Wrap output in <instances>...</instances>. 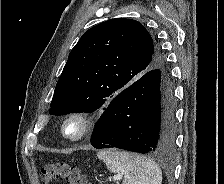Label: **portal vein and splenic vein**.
I'll list each match as a JSON object with an SVG mask.
<instances>
[{
  "label": "portal vein and splenic vein",
  "mask_w": 224,
  "mask_h": 184,
  "mask_svg": "<svg viewBox=\"0 0 224 184\" xmlns=\"http://www.w3.org/2000/svg\"><path fill=\"white\" fill-rule=\"evenodd\" d=\"M121 179H122V176H121V175H115V176L113 177V180H114V181L121 180Z\"/></svg>",
  "instance_id": "portal-vein-and-splenic-vein-1"
}]
</instances>
